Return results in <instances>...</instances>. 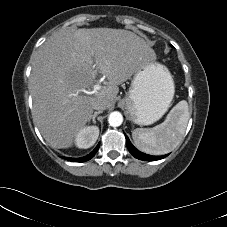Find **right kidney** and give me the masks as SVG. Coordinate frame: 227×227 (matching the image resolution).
<instances>
[{"mask_svg":"<svg viewBox=\"0 0 227 227\" xmlns=\"http://www.w3.org/2000/svg\"><path fill=\"white\" fill-rule=\"evenodd\" d=\"M99 136L97 126H87L81 129L75 138V145L81 149H87L93 146Z\"/></svg>","mask_w":227,"mask_h":227,"instance_id":"obj_1","label":"right kidney"}]
</instances>
